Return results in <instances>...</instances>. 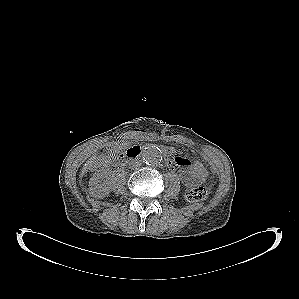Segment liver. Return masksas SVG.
<instances>
[{"label": "liver", "mask_w": 299, "mask_h": 299, "mask_svg": "<svg viewBox=\"0 0 299 299\" xmlns=\"http://www.w3.org/2000/svg\"><path fill=\"white\" fill-rule=\"evenodd\" d=\"M94 160H95V157L91 158L86 164L85 166L83 167L82 169V173H81V176L84 175L85 172H87L94 164Z\"/></svg>", "instance_id": "6515ba94"}]
</instances>
